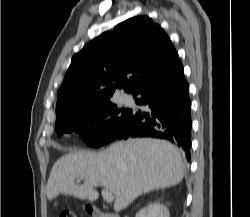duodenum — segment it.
Returning a JSON list of instances; mask_svg holds the SVG:
<instances>
[{
	"label": "duodenum",
	"instance_id": "obj_1",
	"mask_svg": "<svg viewBox=\"0 0 250 217\" xmlns=\"http://www.w3.org/2000/svg\"><path fill=\"white\" fill-rule=\"evenodd\" d=\"M86 211L91 217H120L118 215L106 213L102 211L100 208L94 205H87L86 206Z\"/></svg>",
	"mask_w": 250,
	"mask_h": 217
}]
</instances>
